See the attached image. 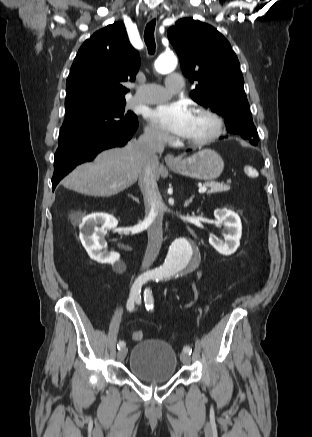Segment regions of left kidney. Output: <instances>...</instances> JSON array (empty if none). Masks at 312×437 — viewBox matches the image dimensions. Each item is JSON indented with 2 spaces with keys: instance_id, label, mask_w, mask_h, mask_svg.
Wrapping results in <instances>:
<instances>
[{
  "instance_id": "obj_1",
  "label": "left kidney",
  "mask_w": 312,
  "mask_h": 437,
  "mask_svg": "<svg viewBox=\"0 0 312 437\" xmlns=\"http://www.w3.org/2000/svg\"><path fill=\"white\" fill-rule=\"evenodd\" d=\"M214 216L218 224L224 226V241L216 240L214 237L209 238V243L222 255L233 254L240 245L242 236V223L238 214L231 210L216 209Z\"/></svg>"
}]
</instances>
